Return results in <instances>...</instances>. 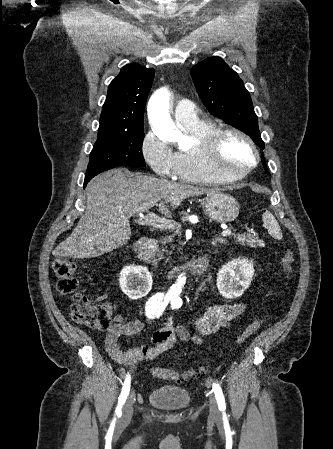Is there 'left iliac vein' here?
Masks as SVG:
<instances>
[{
	"mask_svg": "<svg viewBox=\"0 0 333 449\" xmlns=\"http://www.w3.org/2000/svg\"><path fill=\"white\" fill-rule=\"evenodd\" d=\"M209 411H210L209 418L212 421L217 422V421H219L221 419V415H220V411H219V408H218V404H217L216 398L213 395L210 396Z\"/></svg>",
	"mask_w": 333,
	"mask_h": 449,
	"instance_id": "1",
	"label": "left iliac vein"
}]
</instances>
